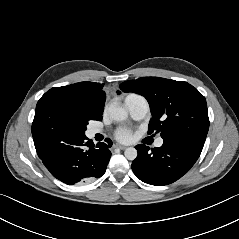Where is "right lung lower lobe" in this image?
I'll return each mask as SVG.
<instances>
[{"label": "right lung lower lobe", "instance_id": "1", "mask_svg": "<svg viewBox=\"0 0 239 239\" xmlns=\"http://www.w3.org/2000/svg\"><path fill=\"white\" fill-rule=\"evenodd\" d=\"M111 146V141L95 145L85 135H73L36 151L55 178L73 185L93 181L105 173Z\"/></svg>", "mask_w": 239, "mask_h": 239}]
</instances>
